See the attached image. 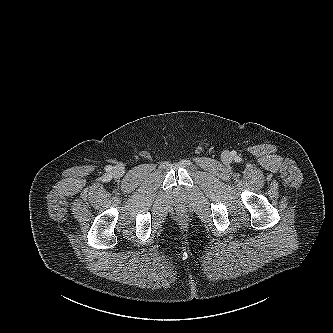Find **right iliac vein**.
Returning <instances> with one entry per match:
<instances>
[{"instance_id": "right-iliac-vein-1", "label": "right iliac vein", "mask_w": 333, "mask_h": 333, "mask_svg": "<svg viewBox=\"0 0 333 333\" xmlns=\"http://www.w3.org/2000/svg\"><path fill=\"white\" fill-rule=\"evenodd\" d=\"M124 171L122 169L117 170V173L121 175Z\"/></svg>"}]
</instances>
